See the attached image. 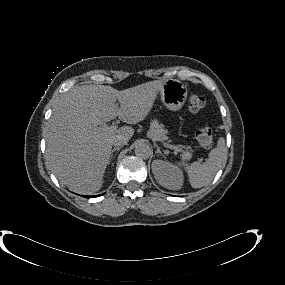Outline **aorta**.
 <instances>
[{
    "label": "aorta",
    "instance_id": "1",
    "mask_svg": "<svg viewBox=\"0 0 285 285\" xmlns=\"http://www.w3.org/2000/svg\"><path fill=\"white\" fill-rule=\"evenodd\" d=\"M135 154L142 159H147L151 155V148L147 143L140 141L135 146Z\"/></svg>",
    "mask_w": 285,
    "mask_h": 285
}]
</instances>
